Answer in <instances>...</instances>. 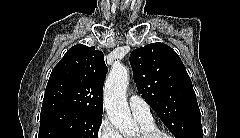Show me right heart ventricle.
Returning a JSON list of instances; mask_svg holds the SVG:
<instances>
[{
	"label": "right heart ventricle",
	"instance_id": "obj_1",
	"mask_svg": "<svg viewBox=\"0 0 240 138\" xmlns=\"http://www.w3.org/2000/svg\"><path fill=\"white\" fill-rule=\"evenodd\" d=\"M136 120L138 121L141 130L142 129H146V128H151V127H155L154 121L152 118L150 119H142V118H138L136 117Z\"/></svg>",
	"mask_w": 240,
	"mask_h": 138
}]
</instances>
